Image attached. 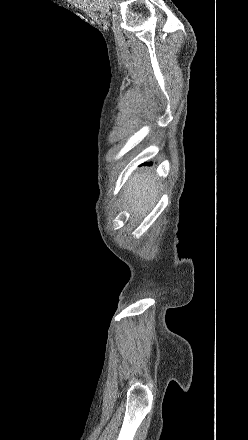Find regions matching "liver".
<instances>
[{
    "label": "liver",
    "instance_id": "liver-1",
    "mask_svg": "<svg viewBox=\"0 0 248 440\" xmlns=\"http://www.w3.org/2000/svg\"><path fill=\"white\" fill-rule=\"evenodd\" d=\"M159 182L147 174H134L124 190V202L132 215L144 216L157 200Z\"/></svg>",
    "mask_w": 248,
    "mask_h": 440
}]
</instances>
